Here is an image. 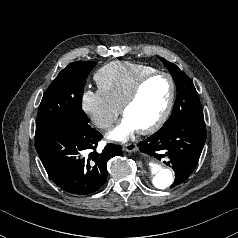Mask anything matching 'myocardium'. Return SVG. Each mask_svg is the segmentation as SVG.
<instances>
[{"label": "myocardium", "instance_id": "obj_1", "mask_svg": "<svg viewBox=\"0 0 238 238\" xmlns=\"http://www.w3.org/2000/svg\"><path fill=\"white\" fill-rule=\"evenodd\" d=\"M156 77H164L168 80L170 86L169 99L163 112L155 122L145 128L138 129V132L140 134H150L157 131L168 119L172 111L176 96V85L173 77L169 73L163 71H155L143 76L134 85V87L132 88V90L130 91V93L128 94V96L123 101L120 107L121 113L125 115L126 110L137 100L146 83Z\"/></svg>", "mask_w": 238, "mask_h": 238}]
</instances>
